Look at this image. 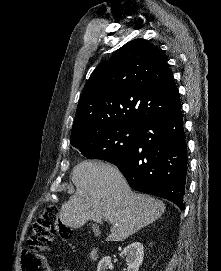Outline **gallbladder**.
<instances>
[{
	"label": "gallbladder",
	"instance_id": "bac80fb5",
	"mask_svg": "<svg viewBox=\"0 0 221 271\" xmlns=\"http://www.w3.org/2000/svg\"><path fill=\"white\" fill-rule=\"evenodd\" d=\"M98 225H92V229H97Z\"/></svg>",
	"mask_w": 221,
	"mask_h": 271
}]
</instances>
